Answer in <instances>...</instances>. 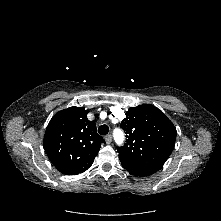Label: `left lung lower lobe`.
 <instances>
[{
  "label": "left lung lower lobe",
  "mask_w": 221,
  "mask_h": 221,
  "mask_svg": "<svg viewBox=\"0 0 221 221\" xmlns=\"http://www.w3.org/2000/svg\"><path fill=\"white\" fill-rule=\"evenodd\" d=\"M126 170H128L130 173L136 175V176H149L151 174L156 173L159 169L156 168H147V169H142V170H134V169H130V168H125Z\"/></svg>",
  "instance_id": "left-lung-lower-lobe-1"
}]
</instances>
